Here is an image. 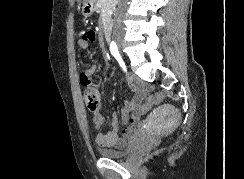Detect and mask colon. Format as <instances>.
Returning <instances> with one entry per match:
<instances>
[{
	"label": "colon",
	"mask_w": 244,
	"mask_h": 179,
	"mask_svg": "<svg viewBox=\"0 0 244 179\" xmlns=\"http://www.w3.org/2000/svg\"><path fill=\"white\" fill-rule=\"evenodd\" d=\"M163 93H156L155 96H147L146 104H139V109H151L158 101L163 100ZM84 99L87 109L96 113L99 108V92L94 86H89L84 89ZM139 116H150V111H139Z\"/></svg>",
	"instance_id": "5ec220e1"
}]
</instances>
